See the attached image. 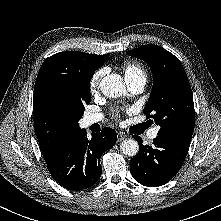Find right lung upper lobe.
Returning <instances> with one entry per match:
<instances>
[{
    "label": "right lung upper lobe",
    "instance_id": "obj_1",
    "mask_svg": "<svg viewBox=\"0 0 221 221\" xmlns=\"http://www.w3.org/2000/svg\"><path fill=\"white\" fill-rule=\"evenodd\" d=\"M109 56L66 51L52 55L43 62L35 81L33 117L45 161L50 160L80 130L75 117L59 104L54 88L76 74H94Z\"/></svg>",
    "mask_w": 221,
    "mask_h": 221
}]
</instances>
